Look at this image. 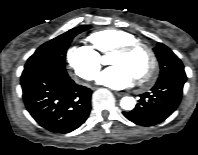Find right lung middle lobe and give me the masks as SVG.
Returning a JSON list of instances; mask_svg holds the SVG:
<instances>
[{
  "instance_id": "right-lung-middle-lobe-1",
  "label": "right lung middle lobe",
  "mask_w": 198,
  "mask_h": 155,
  "mask_svg": "<svg viewBox=\"0 0 198 155\" xmlns=\"http://www.w3.org/2000/svg\"><path fill=\"white\" fill-rule=\"evenodd\" d=\"M89 28L90 26H79L44 43L27 60L24 69L33 67L48 68L67 74L64 61L69 44L74 36Z\"/></svg>"
}]
</instances>
